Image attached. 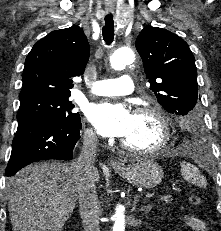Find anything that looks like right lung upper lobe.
<instances>
[{
	"label": "right lung upper lobe",
	"instance_id": "right-lung-upper-lobe-1",
	"mask_svg": "<svg viewBox=\"0 0 221 231\" xmlns=\"http://www.w3.org/2000/svg\"><path fill=\"white\" fill-rule=\"evenodd\" d=\"M89 43L79 26L52 31L33 46L25 60L19 98L70 96L72 77L84 73Z\"/></svg>",
	"mask_w": 221,
	"mask_h": 231
}]
</instances>
